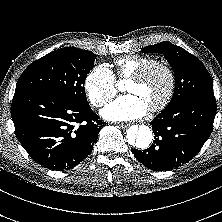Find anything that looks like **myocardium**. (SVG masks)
<instances>
[{"label":"myocardium","instance_id":"f54148a6","mask_svg":"<svg viewBox=\"0 0 222 222\" xmlns=\"http://www.w3.org/2000/svg\"><path fill=\"white\" fill-rule=\"evenodd\" d=\"M156 68L163 69L165 73L167 74L168 87L163 98L157 104L149 108L151 112H158L164 109L169 104V102L171 101L174 95L175 88H176V76L172 67L169 64L162 61H152L142 66L140 69H138L134 74H132L128 78V81L141 82L146 78V76L152 70Z\"/></svg>","mask_w":222,"mask_h":222}]
</instances>
